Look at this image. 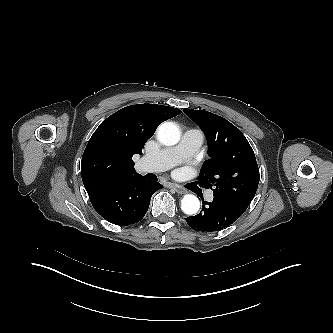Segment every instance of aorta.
Here are the masks:
<instances>
[{"instance_id":"1","label":"aorta","mask_w":333,"mask_h":333,"mask_svg":"<svg viewBox=\"0 0 333 333\" xmlns=\"http://www.w3.org/2000/svg\"><path fill=\"white\" fill-rule=\"evenodd\" d=\"M159 141L167 146H172L178 143L180 139V130L173 122L162 123L157 130ZM200 208L199 199L191 194L184 195L181 201V209L187 215H193L198 212Z\"/></svg>"}]
</instances>
